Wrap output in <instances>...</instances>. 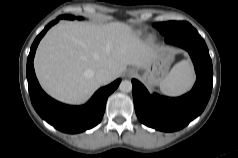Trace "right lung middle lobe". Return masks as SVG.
Instances as JSON below:
<instances>
[{"mask_svg": "<svg viewBox=\"0 0 238 158\" xmlns=\"http://www.w3.org/2000/svg\"><path fill=\"white\" fill-rule=\"evenodd\" d=\"M61 17L64 18V19H74L75 18L72 15H64V16H61ZM79 19H81V18H79Z\"/></svg>", "mask_w": 238, "mask_h": 158, "instance_id": "obj_1", "label": "right lung middle lobe"}]
</instances>
